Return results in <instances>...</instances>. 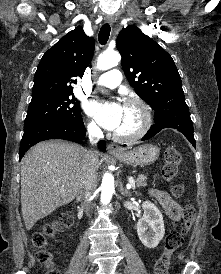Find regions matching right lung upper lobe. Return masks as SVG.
I'll return each instance as SVG.
<instances>
[{"label": "right lung upper lobe", "instance_id": "right-lung-upper-lobe-1", "mask_svg": "<svg viewBox=\"0 0 221 274\" xmlns=\"http://www.w3.org/2000/svg\"><path fill=\"white\" fill-rule=\"evenodd\" d=\"M95 48L81 26L62 37L43 55L34 76L32 99L73 93L74 77H82Z\"/></svg>", "mask_w": 221, "mask_h": 274}]
</instances>
